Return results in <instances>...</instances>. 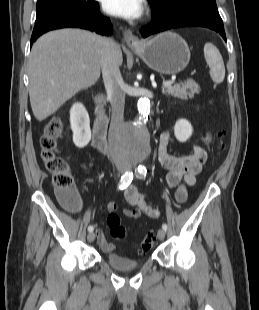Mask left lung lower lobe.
<instances>
[{
  "label": "left lung lower lobe",
  "instance_id": "left-lung-lower-lobe-1",
  "mask_svg": "<svg viewBox=\"0 0 259 310\" xmlns=\"http://www.w3.org/2000/svg\"><path fill=\"white\" fill-rule=\"evenodd\" d=\"M188 26H200L212 29L218 32L226 41L223 22L218 10L205 8L190 9L164 20L152 21L147 26L142 27L140 33L145 38L168 29Z\"/></svg>",
  "mask_w": 259,
  "mask_h": 310
}]
</instances>
